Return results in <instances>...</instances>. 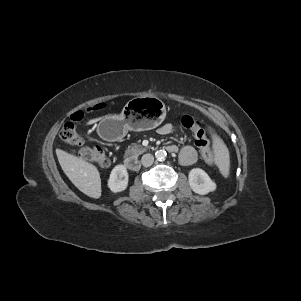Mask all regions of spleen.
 Here are the masks:
<instances>
[{
	"instance_id": "spleen-1",
	"label": "spleen",
	"mask_w": 301,
	"mask_h": 301,
	"mask_svg": "<svg viewBox=\"0 0 301 301\" xmlns=\"http://www.w3.org/2000/svg\"><path fill=\"white\" fill-rule=\"evenodd\" d=\"M214 150H215V160L218 164L219 170L224 177H228L230 168V158L229 151L224 142L215 137L214 139Z\"/></svg>"
}]
</instances>
